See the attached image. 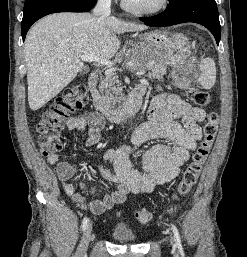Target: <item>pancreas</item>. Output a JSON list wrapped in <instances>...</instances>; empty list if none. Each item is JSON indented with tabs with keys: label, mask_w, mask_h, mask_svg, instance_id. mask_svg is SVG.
Instances as JSON below:
<instances>
[{
	"label": "pancreas",
	"mask_w": 247,
	"mask_h": 257,
	"mask_svg": "<svg viewBox=\"0 0 247 257\" xmlns=\"http://www.w3.org/2000/svg\"><path fill=\"white\" fill-rule=\"evenodd\" d=\"M134 65L131 67L136 71H145L149 69L148 78L150 79H161L163 75L166 74V66L162 63L151 62L150 64H145L138 58H133ZM117 86V87H116ZM120 81L115 73H108L105 78L101 80L99 86L100 101L106 105L111 106L115 102H120L122 100L123 89Z\"/></svg>",
	"instance_id": "pancreas-1"
}]
</instances>
